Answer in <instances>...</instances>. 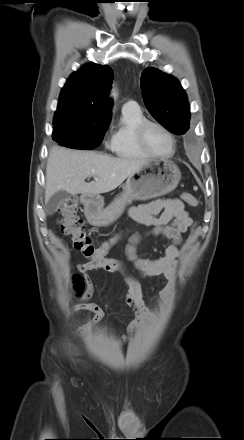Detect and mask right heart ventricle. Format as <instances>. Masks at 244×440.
Returning a JSON list of instances; mask_svg holds the SVG:
<instances>
[{"label":"right heart ventricle","mask_w":244,"mask_h":440,"mask_svg":"<svg viewBox=\"0 0 244 440\" xmlns=\"http://www.w3.org/2000/svg\"><path fill=\"white\" fill-rule=\"evenodd\" d=\"M146 117L138 108L136 110H123L118 125L113 130L110 149L119 157L122 158H146V154L137 145L134 131L136 126Z\"/></svg>","instance_id":"right-heart-ventricle-1"}]
</instances>
